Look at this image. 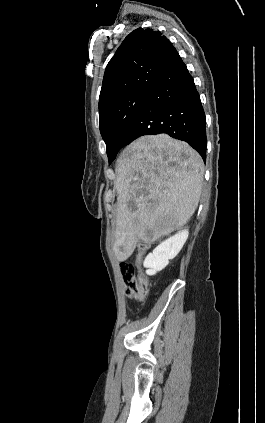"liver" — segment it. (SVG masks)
Returning <instances> with one entry per match:
<instances>
[{
  "label": "liver",
  "instance_id": "liver-1",
  "mask_svg": "<svg viewBox=\"0 0 265 423\" xmlns=\"http://www.w3.org/2000/svg\"><path fill=\"white\" fill-rule=\"evenodd\" d=\"M118 193L113 252L127 260L137 243L180 230L195 212L202 191L201 156L167 134L147 135L127 146L116 163Z\"/></svg>",
  "mask_w": 265,
  "mask_h": 423
}]
</instances>
